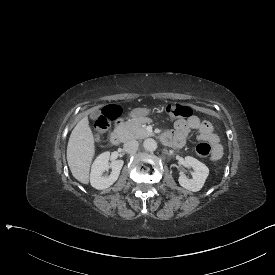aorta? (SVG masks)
I'll use <instances>...</instances> for the list:
<instances>
[{
  "label": "aorta",
  "mask_w": 275,
  "mask_h": 275,
  "mask_svg": "<svg viewBox=\"0 0 275 275\" xmlns=\"http://www.w3.org/2000/svg\"><path fill=\"white\" fill-rule=\"evenodd\" d=\"M143 146L148 151H154L157 148V142L152 138H148L144 140Z\"/></svg>",
  "instance_id": "obj_1"
}]
</instances>
